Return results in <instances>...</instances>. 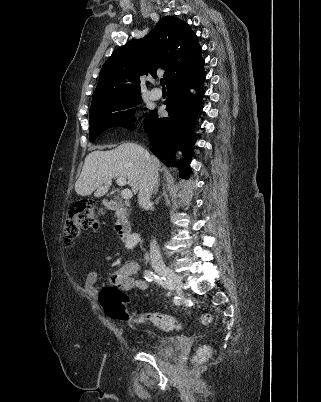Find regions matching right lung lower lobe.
Masks as SVG:
<instances>
[{
	"mask_svg": "<svg viewBox=\"0 0 321 402\" xmlns=\"http://www.w3.org/2000/svg\"><path fill=\"white\" fill-rule=\"evenodd\" d=\"M203 66L204 64L167 84L168 97L164 104L167 105L168 117L159 119L154 111L148 116L145 126L151 152L165 165L174 166V151L177 148L182 150L183 162L179 163V170L183 178H189L191 172L189 164L195 143L193 128L201 110V87L205 79ZM190 88H198L197 94L193 95Z\"/></svg>",
	"mask_w": 321,
	"mask_h": 402,
	"instance_id": "obj_1",
	"label": "right lung lower lobe"
}]
</instances>
